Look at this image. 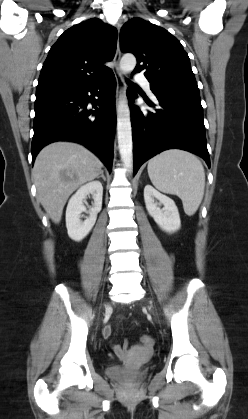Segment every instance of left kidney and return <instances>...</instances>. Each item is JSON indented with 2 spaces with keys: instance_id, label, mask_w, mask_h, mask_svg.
<instances>
[{
  "instance_id": "obj_1",
  "label": "left kidney",
  "mask_w": 248,
  "mask_h": 419,
  "mask_svg": "<svg viewBox=\"0 0 248 419\" xmlns=\"http://www.w3.org/2000/svg\"><path fill=\"white\" fill-rule=\"evenodd\" d=\"M144 200L149 215L162 230L174 233L180 229L179 212L171 198L160 193L153 186L146 185L144 188ZM161 205H163V208H160Z\"/></svg>"
}]
</instances>
